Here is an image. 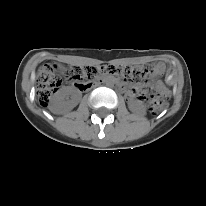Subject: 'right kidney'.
Instances as JSON below:
<instances>
[{
  "label": "right kidney",
  "instance_id": "1",
  "mask_svg": "<svg viewBox=\"0 0 206 206\" xmlns=\"http://www.w3.org/2000/svg\"><path fill=\"white\" fill-rule=\"evenodd\" d=\"M72 95V99L69 100V96ZM79 97L70 89H61L55 94L50 102L49 109L54 113H64L72 110L78 103Z\"/></svg>",
  "mask_w": 206,
  "mask_h": 206
}]
</instances>
